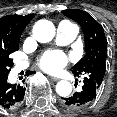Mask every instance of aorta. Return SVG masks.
Returning <instances> with one entry per match:
<instances>
[{"label":"aorta","mask_w":117,"mask_h":117,"mask_svg":"<svg viewBox=\"0 0 117 117\" xmlns=\"http://www.w3.org/2000/svg\"><path fill=\"white\" fill-rule=\"evenodd\" d=\"M33 36L40 43H47L55 36V26L49 20H39L33 27ZM56 92L61 97H67L72 92L70 82L62 80L56 85Z\"/></svg>","instance_id":"762f6f07"}]
</instances>
